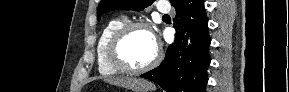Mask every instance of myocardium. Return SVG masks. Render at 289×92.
Segmentation results:
<instances>
[{
    "instance_id": "1",
    "label": "myocardium",
    "mask_w": 289,
    "mask_h": 92,
    "mask_svg": "<svg viewBox=\"0 0 289 92\" xmlns=\"http://www.w3.org/2000/svg\"><path fill=\"white\" fill-rule=\"evenodd\" d=\"M146 29L151 32L150 26L142 21H128L120 26L112 35L107 46V57L110 64L117 70L125 73L139 74L151 70L160 61L161 49L156 44V52L152 60L144 66L134 67L128 64L121 55V47L128 34L135 29Z\"/></svg>"
}]
</instances>
